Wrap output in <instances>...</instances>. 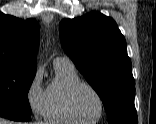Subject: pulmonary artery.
<instances>
[{
    "label": "pulmonary artery",
    "mask_w": 156,
    "mask_h": 124,
    "mask_svg": "<svg viewBox=\"0 0 156 124\" xmlns=\"http://www.w3.org/2000/svg\"><path fill=\"white\" fill-rule=\"evenodd\" d=\"M54 65L56 64H69V65H73V63L71 62V60L68 57H64V56H58L54 59L53 61Z\"/></svg>",
    "instance_id": "obj_1"
}]
</instances>
